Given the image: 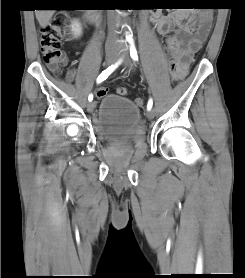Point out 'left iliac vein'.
Masks as SVG:
<instances>
[{
	"label": "left iliac vein",
	"instance_id": "4c4485c4",
	"mask_svg": "<svg viewBox=\"0 0 245 278\" xmlns=\"http://www.w3.org/2000/svg\"><path fill=\"white\" fill-rule=\"evenodd\" d=\"M123 51H124V66L131 69L132 68V63L130 61V58L128 57L127 48L125 47L123 49ZM154 116H155V112L153 110H151V109H148L147 110V117H148V119H153Z\"/></svg>",
	"mask_w": 245,
	"mask_h": 278
}]
</instances>
